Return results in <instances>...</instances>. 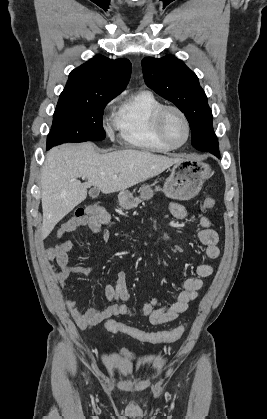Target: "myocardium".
Masks as SVG:
<instances>
[{
  "mask_svg": "<svg viewBox=\"0 0 267 419\" xmlns=\"http://www.w3.org/2000/svg\"><path fill=\"white\" fill-rule=\"evenodd\" d=\"M170 111H174L176 112L181 119L184 122L185 128H186V137L185 140L181 143V144H173L168 137L166 136L165 130H164V122H165V118L168 112ZM154 128L156 131V134L158 136V138L161 140L162 143H164L166 146H168L171 149H177L182 147L183 145H185L187 143V141L190 138V134H191V126H190V122L188 120L187 115L185 114V112L179 108L178 106L175 105H163L162 107H160L158 109V111L156 112L155 116H154Z\"/></svg>",
  "mask_w": 267,
  "mask_h": 419,
  "instance_id": "f54148a6",
  "label": "myocardium"
}]
</instances>
